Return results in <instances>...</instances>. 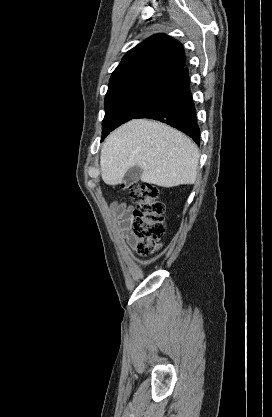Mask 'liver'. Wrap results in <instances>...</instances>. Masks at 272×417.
I'll return each mask as SVG.
<instances>
[{"label": "liver", "instance_id": "6515ba94", "mask_svg": "<svg viewBox=\"0 0 272 417\" xmlns=\"http://www.w3.org/2000/svg\"><path fill=\"white\" fill-rule=\"evenodd\" d=\"M199 157L197 145L180 131L134 119L111 132L103 143L101 177L108 185H118L131 167L139 166L142 182L166 188L193 184Z\"/></svg>", "mask_w": 272, "mask_h": 417}]
</instances>
